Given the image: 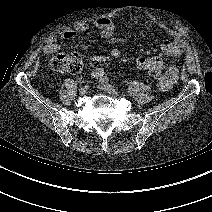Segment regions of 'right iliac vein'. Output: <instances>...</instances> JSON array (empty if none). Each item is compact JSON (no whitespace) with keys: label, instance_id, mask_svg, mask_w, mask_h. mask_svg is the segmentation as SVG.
<instances>
[{"label":"right iliac vein","instance_id":"right-iliac-vein-1","mask_svg":"<svg viewBox=\"0 0 212 212\" xmlns=\"http://www.w3.org/2000/svg\"><path fill=\"white\" fill-rule=\"evenodd\" d=\"M88 91V86H83L81 88H79V94L80 95H85Z\"/></svg>","mask_w":212,"mask_h":212}]
</instances>
